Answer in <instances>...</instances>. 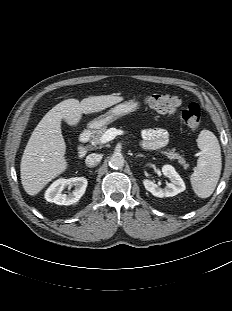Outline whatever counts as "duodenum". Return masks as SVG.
<instances>
[{
    "instance_id": "1",
    "label": "duodenum",
    "mask_w": 232,
    "mask_h": 311,
    "mask_svg": "<svg viewBox=\"0 0 232 311\" xmlns=\"http://www.w3.org/2000/svg\"><path fill=\"white\" fill-rule=\"evenodd\" d=\"M90 137L91 132L89 130H85L79 135V145L77 150L79 158H83L85 156L87 152L86 143L89 141Z\"/></svg>"
}]
</instances>
